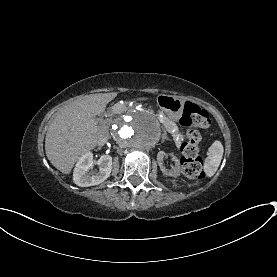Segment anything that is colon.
Returning a JSON list of instances; mask_svg holds the SVG:
<instances>
[{
  "instance_id": "obj_1",
  "label": "colon",
  "mask_w": 277,
  "mask_h": 277,
  "mask_svg": "<svg viewBox=\"0 0 277 277\" xmlns=\"http://www.w3.org/2000/svg\"><path fill=\"white\" fill-rule=\"evenodd\" d=\"M180 124L187 130L186 141L180 146L182 171L190 179H202L205 171L203 159L199 156L200 130L210 126L209 114L193 103H186Z\"/></svg>"
}]
</instances>
